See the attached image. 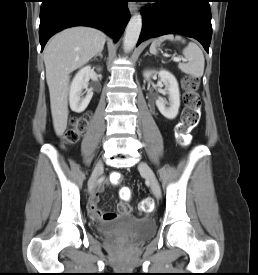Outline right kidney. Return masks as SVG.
I'll return each instance as SVG.
<instances>
[{"label":"right kidney","mask_w":258,"mask_h":275,"mask_svg":"<svg viewBox=\"0 0 258 275\" xmlns=\"http://www.w3.org/2000/svg\"><path fill=\"white\" fill-rule=\"evenodd\" d=\"M92 73L91 66H86L80 69L73 78L70 86L69 102L71 110L76 113L83 112L92 99L93 92L88 89V81ZM83 89H86L85 96L82 93Z\"/></svg>","instance_id":"1"}]
</instances>
